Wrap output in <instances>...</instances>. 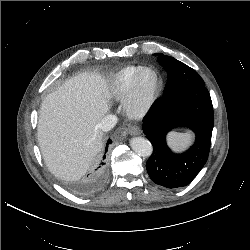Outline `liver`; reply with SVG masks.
Here are the masks:
<instances>
[{
    "instance_id": "liver-1",
    "label": "liver",
    "mask_w": 250,
    "mask_h": 250,
    "mask_svg": "<svg viewBox=\"0 0 250 250\" xmlns=\"http://www.w3.org/2000/svg\"><path fill=\"white\" fill-rule=\"evenodd\" d=\"M106 80L85 72L66 80L42 101L37 137L46 166L58 178L83 176L103 146L98 127L110 108Z\"/></svg>"
}]
</instances>
